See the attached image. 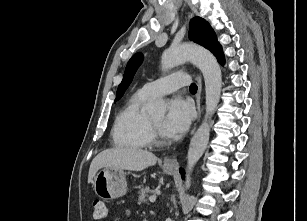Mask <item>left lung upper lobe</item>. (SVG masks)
Here are the masks:
<instances>
[{
  "label": "left lung upper lobe",
  "mask_w": 307,
  "mask_h": 221,
  "mask_svg": "<svg viewBox=\"0 0 307 221\" xmlns=\"http://www.w3.org/2000/svg\"><path fill=\"white\" fill-rule=\"evenodd\" d=\"M189 38L193 42L200 44L206 49L210 50L218 60L224 56L222 47L217 41L215 32L209 23L203 18L194 17L190 21ZM142 60L143 55L141 53H136L129 60L124 72L123 80L117 89L115 101L119 100L123 96Z\"/></svg>",
  "instance_id": "1"
}]
</instances>
